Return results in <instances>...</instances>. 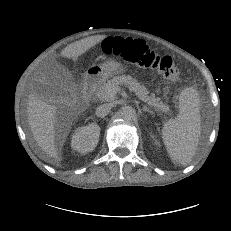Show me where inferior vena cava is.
Instances as JSON below:
<instances>
[{
	"label": "inferior vena cava",
	"mask_w": 231,
	"mask_h": 231,
	"mask_svg": "<svg viewBox=\"0 0 231 231\" xmlns=\"http://www.w3.org/2000/svg\"><path fill=\"white\" fill-rule=\"evenodd\" d=\"M111 110L110 104H102L96 108V115L98 117H105L109 114Z\"/></svg>",
	"instance_id": "1"
}]
</instances>
